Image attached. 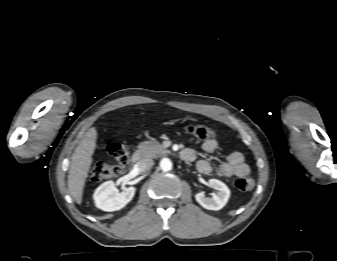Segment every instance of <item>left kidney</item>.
Returning <instances> with one entry per match:
<instances>
[{"label": "left kidney", "mask_w": 337, "mask_h": 261, "mask_svg": "<svg viewBox=\"0 0 337 261\" xmlns=\"http://www.w3.org/2000/svg\"><path fill=\"white\" fill-rule=\"evenodd\" d=\"M208 183L217 190V194H214L212 198H207L203 192H200L195 195V199L205 209L220 210L228 202L230 190L226 184L217 179H210Z\"/></svg>", "instance_id": "obj_1"}]
</instances>
